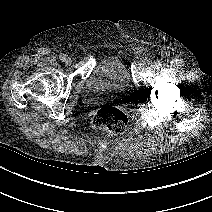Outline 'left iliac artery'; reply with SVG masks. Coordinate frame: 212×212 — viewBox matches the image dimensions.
I'll return each mask as SVG.
<instances>
[{
	"label": "left iliac artery",
	"instance_id": "obj_1",
	"mask_svg": "<svg viewBox=\"0 0 212 212\" xmlns=\"http://www.w3.org/2000/svg\"><path fill=\"white\" fill-rule=\"evenodd\" d=\"M156 67H157V68L161 67V63H160V62H157V63H156Z\"/></svg>",
	"mask_w": 212,
	"mask_h": 212
}]
</instances>
